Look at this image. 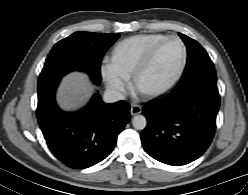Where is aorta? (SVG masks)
I'll return each instance as SVG.
<instances>
[{
	"label": "aorta",
	"mask_w": 248,
	"mask_h": 195,
	"mask_svg": "<svg viewBox=\"0 0 248 195\" xmlns=\"http://www.w3.org/2000/svg\"><path fill=\"white\" fill-rule=\"evenodd\" d=\"M132 125L137 130H143L147 125V120L143 115H136L132 118Z\"/></svg>",
	"instance_id": "obj_1"
}]
</instances>
